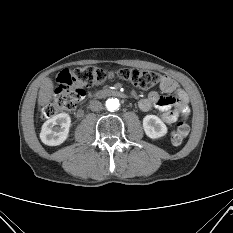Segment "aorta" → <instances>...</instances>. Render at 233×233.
Here are the masks:
<instances>
[{"mask_svg": "<svg viewBox=\"0 0 233 233\" xmlns=\"http://www.w3.org/2000/svg\"><path fill=\"white\" fill-rule=\"evenodd\" d=\"M119 106H120V103H119V100L117 98H109L106 101V108L109 111L117 110L119 108Z\"/></svg>", "mask_w": 233, "mask_h": 233, "instance_id": "762f6f07", "label": "aorta"}]
</instances>
